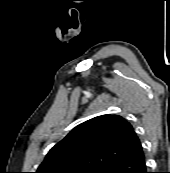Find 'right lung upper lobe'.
<instances>
[{
  "instance_id": "obj_1",
  "label": "right lung upper lobe",
  "mask_w": 170,
  "mask_h": 173,
  "mask_svg": "<svg viewBox=\"0 0 170 173\" xmlns=\"http://www.w3.org/2000/svg\"><path fill=\"white\" fill-rule=\"evenodd\" d=\"M141 149L129 122L118 115H102L75 127L48 152L36 173L104 171Z\"/></svg>"
}]
</instances>
